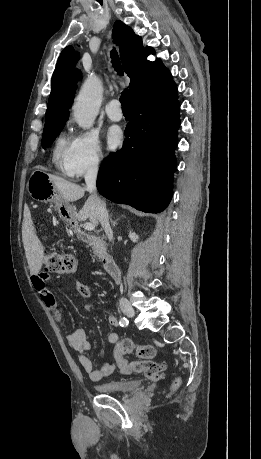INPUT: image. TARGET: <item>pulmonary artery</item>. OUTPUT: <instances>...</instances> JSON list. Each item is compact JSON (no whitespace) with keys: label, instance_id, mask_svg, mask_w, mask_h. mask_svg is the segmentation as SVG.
Returning a JSON list of instances; mask_svg holds the SVG:
<instances>
[{"label":"pulmonary artery","instance_id":"e3ab8cb5","mask_svg":"<svg viewBox=\"0 0 261 459\" xmlns=\"http://www.w3.org/2000/svg\"><path fill=\"white\" fill-rule=\"evenodd\" d=\"M107 116L113 121H120L123 118L120 102L117 99L111 100L105 108Z\"/></svg>","mask_w":261,"mask_h":459}]
</instances>
